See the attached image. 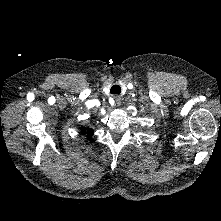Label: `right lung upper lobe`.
<instances>
[{
    "instance_id": "1",
    "label": "right lung upper lobe",
    "mask_w": 221,
    "mask_h": 221,
    "mask_svg": "<svg viewBox=\"0 0 221 221\" xmlns=\"http://www.w3.org/2000/svg\"><path fill=\"white\" fill-rule=\"evenodd\" d=\"M81 132L82 134H87V137L90 139L93 135V130L92 129H88L86 127H81Z\"/></svg>"
}]
</instances>
